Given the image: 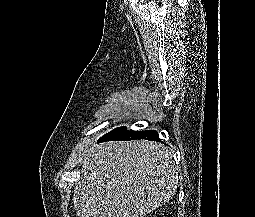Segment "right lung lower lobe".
<instances>
[{"instance_id":"98d812e1","label":"right lung lower lobe","mask_w":255,"mask_h":217,"mask_svg":"<svg viewBox=\"0 0 255 217\" xmlns=\"http://www.w3.org/2000/svg\"><path fill=\"white\" fill-rule=\"evenodd\" d=\"M134 139L159 141V137L155 130L132 131V130H126L125 127H119L107 133L106 135H104L102 138L99 139V142L114 141V140L129 141Z\"/></svg>"}]
</instances>
